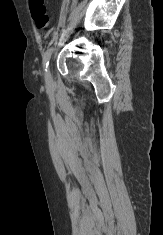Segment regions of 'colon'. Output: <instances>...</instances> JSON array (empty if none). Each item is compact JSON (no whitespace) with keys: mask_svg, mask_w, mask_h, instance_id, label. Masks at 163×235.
<instances>
[{"mask_svg":"<svg viewBox=\"0 0 163 235\" xmlns=\"http://www.w3.org/2000/svg\"><path fill=\"white\" fill-rule=\"evenodd\" d=\"M29 8L35 25L39 29H45L50 24L46 11L45 0H29Z\"/></svg>","mask_w":163,"mask_h":235,"instance_id":"1","label":"colon"}]
</instances>
